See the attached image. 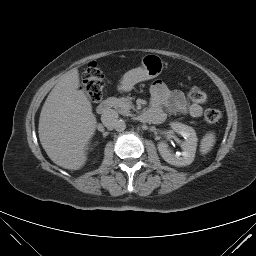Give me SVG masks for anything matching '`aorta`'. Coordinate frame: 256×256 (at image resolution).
Masks as SVG:
<instances>
[{
    "mask_svg": "<svg viewBox=\"0 0 256 256\" xmlns=\"http://www.w3.org/2000/svg\"><path fill=\"white\" fill-rule=\"evenodd\" d=\"M126 128V123L124 120L120 119L117 123L116 130L117 131H123Z\"/></svg>",
    "mask_w": 256,
    "mask_h": 256,
    "instance_id": "obj_1",
    "label": "aorta"
}]
</instances>
